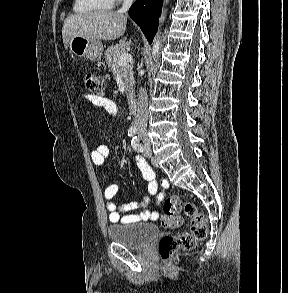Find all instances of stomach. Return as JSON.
Returning a JSON list of instances; mask_svg holds the SVG:
<instances>
[{
	"instance_id": "obj_1",
	"label": "stomach",
	"mask_w": 288,
	"mask_h": 293,
	"mask_svg": "<svg viewBox=\"0 0 288 293\" xmlns=\"http://www.w3.org/2000/svg\"><path fill=\"white\" fill-rule=\"evenodd\" d=\"M69 49L72 55L86 57L96 62L101 60L103 45L99 40L93 41L83 36H74L69 42Z\"/></svg>"
}]
</instances>
